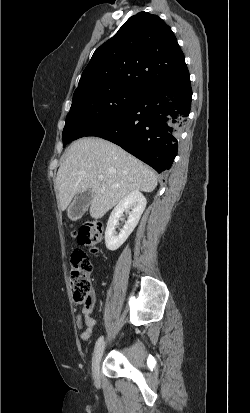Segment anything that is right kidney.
Listing matches in <instances>:
<instances>
[{
    "label": "right kidney",
    "instance_id": "obj_1",
    "mask_svg": "<svg viewBox=\"0 0 250 413\" xmlns=\"http://www.w3.org/2000/svg\"><path fill=\"white\" fill-rule=\"evenodd\" d=\"M146 204V198L139 191L128 193L118 202L107 222L105 231V244L107 249L115 251L127 240L137 226ZM124 212H128L129 217L123 229L117 234L115 228L119 224V218Z\"/></svg>",
    "mask_w": 250,
    "mask_h": 413
}]
</instances>
